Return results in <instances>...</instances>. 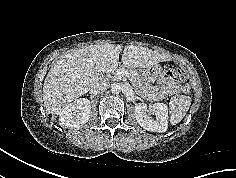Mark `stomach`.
<instances>
[{"mask_svg":"<svg viewBox=\"0 0 236 178\" xmlns=\"http://www.w3.org/2000/svg\"><path fill=\"white\" fill-rule=\"evenodd\" d=\"M161 71V67L158 64H155L150 67L140 69L139 75L144 82L149 84L157 81L159 75L161 74Z\"/></svg>","mask_w":236,"mask_h":178,"instance_id":"obj_1","label":"stomach"}]
</instances>
